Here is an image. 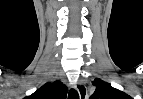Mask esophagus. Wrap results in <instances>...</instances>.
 <instances>
[{
	"label": "esophagus",
	"mask_w": 143,
	"mask_h": 99,
	"mask_svg": "<svg viewBox=\"0 0 143 99\" xmlns=\"http://www.w3.org/2000/svg\"><path fill=\"white\" fill-rule=\"evenodd\" d=\"M76 89L79 93L80 99H86L87 98V89H86V86L82 82L77 83Z\"/></svg>",
	"instance_id": "1"
}]
</instances>
